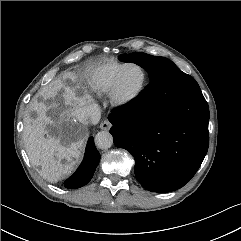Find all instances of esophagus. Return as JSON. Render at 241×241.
Masks as SVG:
<instances>
[{
  "instance_id": "obj_1",
  "label": "esophagus",
  "mask_w": 241,
  "mask_h": 241,
  "mask_svg": "<svg viewBox=\"0 0 241 241\" xmlns=\"http://www.w3.org/2000/svg\"><path fill=\"white\" fill-rule=\"evenodd\" d=\"M111 127V123L108 120H104L101 124H100V128L102 130H109Z\"/></svg>"
}]
</instances>
